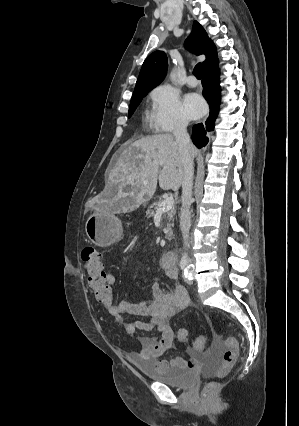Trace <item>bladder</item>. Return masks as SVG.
I'll return each mask as SVG.
<instances>
[{
    "label": "bladder",
    "instance_id": "31cf9c89",
    "mask_svg": "<svg viewBox=\"0 0 299 426\" xmlns=\"http://www.w3.org/2000/svg\"><path fill=\"white\" fill-rule=\"evenodd\" d=\"M133 362L138 363L139 369L147 378L179 389L192 387L197 379L196 372L191 368L170 366L165 369H159L153 364L144 361Z\"/></svg>",
    "mask_w": 299,
    "mask_h": 426
}]
</instances>
